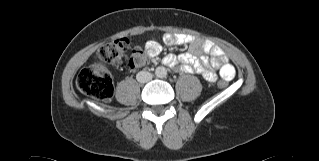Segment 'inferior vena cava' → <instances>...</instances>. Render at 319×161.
Masks as SVG:
<instances>
[{
  "label": "inferior vena cava",
  "mask_w": 319,
  "mask_h": 161,
  "mask_svg": "<svg viewBox=\"0 0 319 161\" xmlns=\"http://www.w3.org/2000/svg\"><path fill=\"white\" fill-rule=\"evenodd\" d=\"M152 77H153L152 74L147 71H140L136 75V79L140 83H147L150 80H152Z\"/></svg>",
  "instance_id": "obj_1"
}]
</instances>
